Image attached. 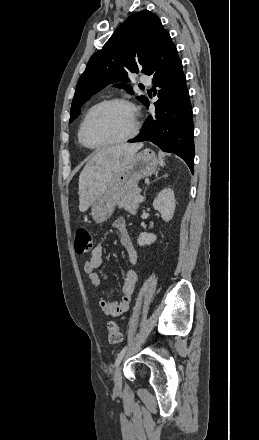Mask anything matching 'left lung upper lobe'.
<instances>
[{"mask_svg": "<svg viewBox=\"0 0 259 440\" xmlns=\"http://www.w3.org/2000/svg\"><path fill=\"white\" fill-rule=\"evenodd\" d=\"M168 35L160 19L150 11L142 10L131 15L90 58L77 83L70 122L78 116L81 106L105 86L127 82L129 72L142 70L147 74ZM116 86L132 93L129 85L120 83ZM137 99L143 104L148 100L145 96Z\"/></svg>", "mask_w": 259, "mask_h": 440, "instance_id": "5c2ea615", "label": "left lung upper lobe"}]
</instances>
